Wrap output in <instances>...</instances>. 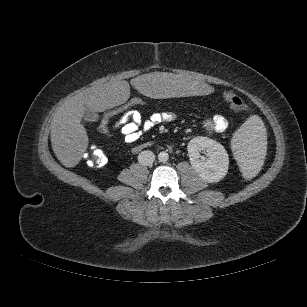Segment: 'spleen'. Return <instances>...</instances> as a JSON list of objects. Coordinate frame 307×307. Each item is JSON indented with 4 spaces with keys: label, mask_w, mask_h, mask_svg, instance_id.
Segmentation results:
<instances>
[{
    "label": "spleen",
    "mask_w": 307,
    "mask_h": 307,
    "mask_svg": "<svg viewBox=\"0 0 307 307\" xmlns=\"http://www.w3.org/2000/svg\"><path fill=\"white\" fill-rule=\"evenodd\" d=\"M269 142L262 120L256 115L249 117L233 140L239 156L238 168L245 178L252 179L262 171L263 150Z\"/></svg>",
    "instance_id": "1"
}]
</instances>
